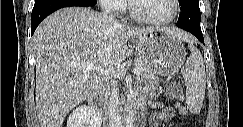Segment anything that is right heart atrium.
Instances as JSON below:
<instances>
[{"label":"right heart atrium","instance_id":"right-heart-atrium-1","mask_svg":"<svg viewBox=\"0 0 243 127\" xmlns=\"http://www.w3.org/2000/svg\"><path fill=\"white\" fill-rule=\"evenodd\" d=\"M102 9L110 15H119L124 11L123 0H99Z\"/></svg>","mask_w":243,"mask_h":127}]
</instances>
